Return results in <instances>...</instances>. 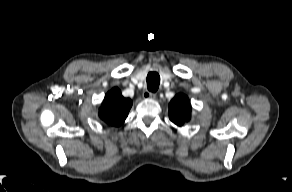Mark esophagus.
I'll return each instance as SVG.
<instances>
[{"mask_svg": "<svg viewBox=\"0 0 292 192\" xmlns=\"http://www.w3.org/2000/svg\"><path fill=\"white\" fill-rule=\"evenodd\" d=\"M143 97L146 99H154L156 97V94L153 92H149V91H144L143 92Z\"/></svg>", "mask_w": 292, "mask_h": 192, "instance_id": "esophagus-1", "label": "esophagus"}]
</instances>
